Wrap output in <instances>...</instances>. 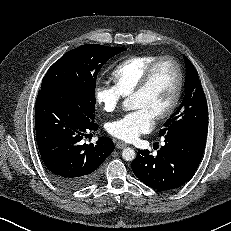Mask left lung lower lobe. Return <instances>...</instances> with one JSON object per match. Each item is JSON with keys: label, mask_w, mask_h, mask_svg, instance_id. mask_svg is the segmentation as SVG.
<instances>
[{"label": "left lung lower lobe", "mask_w": 231, "mask_h": 231, "mask_svg": "<svg viewBox=\"0 0 231 231\" xmlns=\"http://www.w3.org/2000/svg\"><path fill=\"white\" fill-rule=\"evenodd\" d=\"M207 135L170 133L162 136L163 146L153 156L138 151L132 170L143 183L159 191L176 189L196 171L204 153Z\"/></svg>", "instance_id": "1"}]
</instances>
